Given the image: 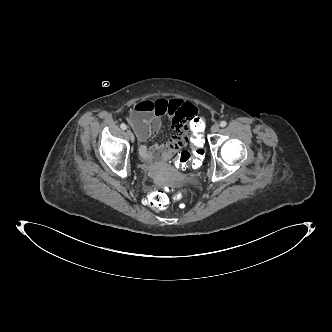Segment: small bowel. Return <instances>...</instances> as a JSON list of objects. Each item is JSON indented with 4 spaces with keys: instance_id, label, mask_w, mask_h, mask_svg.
Returning <instances> with one entry per match:
<instances>
[{
    "instance_id": "c3829d8e",
    "label": "small bowel",
    "mask_w": 332,
    "mask_h": 332,
    "mask_svg": "<svg viewBox=\"0 0 332 332\" xmlns=\"http://www.w3.org/2000/svg\"><path fill=\"white\" fill-rule=\"evenodd\" d=\"M164 117L170 119L176 134L171 135L166 143L149 146L147 142L159 132ZM193 117L200 118L203 123L198 108L180 98L145 99L138 102L131 113L130 121L142 143L139 149L141 157L145 161L155 162L182 152L191 137L189 121Z\"/></svg>"
}]
</instances>
